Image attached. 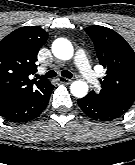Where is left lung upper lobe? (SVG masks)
<instances>
[{"label": "left lung upper lobe", "mask_w": 135, "mask_h": 165, "mask_svg": "<svg viewBox=\"0 0 135 165\" xmlns=\"http://www.w3.org/2000/svg\"><path fill=\"white\" fill-rule=\"evenodd\" d=\"M85 31L94 42L100 64L106 69V76L100 80L101 89L90 94L124 114L135 100V52L110 28L94 25Z\"/></svg>", "instance_id": "5c2ea615"}]
</instances>
